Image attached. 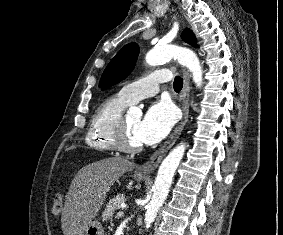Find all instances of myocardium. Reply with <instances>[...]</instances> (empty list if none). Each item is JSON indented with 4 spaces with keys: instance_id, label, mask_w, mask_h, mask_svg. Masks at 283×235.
Instances as JSON below:
<instances>
[{
    "instance_id": "myocardium-1",
    "label": "myocardium",
    "mask_w": 283,
    "mask_h": 235,
    "mask_svg": "<svg viewBox=\"0 0 283 235\" xmlns=\"http://www.w3.org/2000/svg\"><path fill=\"white\" fill-rule=\"evenodd\" d=\"M113 140L116 149L124 153L135 154L143 148L141 143L134 145L129 142L125 119L123 117L120 118L114 128Z\"/></svg>"
}]
</instances>
